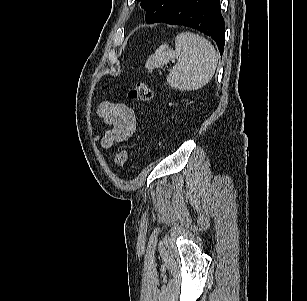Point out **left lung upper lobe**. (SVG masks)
Masks as SVG:
<instances>
[{
  "instance_id": "1",
  "label": "left lung upper lobe",
  "mask_w": 307,
  "mask_h": 301,
  "mask_svg": "<svg viewBox=\"0 0 307 301\" xmlns=\"http://www.w3.org/2000/svg\"><path fill=\"white\" fill-rule=\"evenodd\" d=\"M142 2V7L147 11V23H155L167 14L179 0H137Z\"/></svg>"
}]
</instances>
